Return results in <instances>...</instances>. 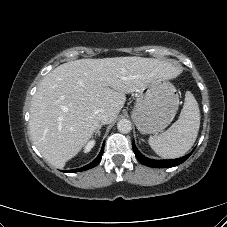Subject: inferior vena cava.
<instances>
[{
    "label": "inferior vena cava",
    "instance_id": "1",
    "mask_svg": "<svg viewBox=\"0 0 227 227\" xmlns=\"http://www.w3.org/2000/svg\"><path fill=\"white\" fill-rule=\"evenodd\" d=\"M114 112L109 109H102L99 114L101 123L109 124L114 120Z\"/></svg>",
    "mask_w": 227,
    "mask_h": 227
}]
</instances>
